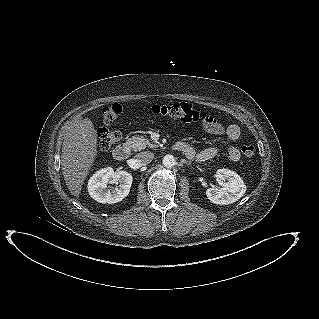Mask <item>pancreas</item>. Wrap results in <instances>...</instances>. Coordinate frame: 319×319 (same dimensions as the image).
Returning a JSON list of instances; mask_svg holds the SVG:
<instances>
[{
	"mask_svg": "<svg viewBox=\"0 0 319 319\" xmlns=\"http://www.w3.org/2000/svg\"><path fill=\"white\" fill-rule=\"evenodd\" d=\"M127 143L131 146L134 151H140L147 147L154 148L156 145L150 143V141L143 137L133 136L128 139Z\"/></svg>",
	"mask_w": 319,
	"mask_h": 319,
	"instance_id": "cf45deb5",
	"label": "pancreas"
}]
</instances>
